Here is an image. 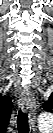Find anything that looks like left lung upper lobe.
Instances as JSON below:
<instances>
[{"label": "left lung upper lobe", "instance_id": "1", "mask_svg": "<svg viewBox=\"0 0 53 133\" xmlns=\"http://www.w3.org/2000/svg\"><path fill=\"white\" fill-rule=\"evenodd\" d=\"M51 99H52V98H50L48 102L43 103V108H44L46 111H49V112H53V111H52V109H53V101H52Z\"/></svg>", "mask_w": 53, "mask_h": 133}]
</instances>
